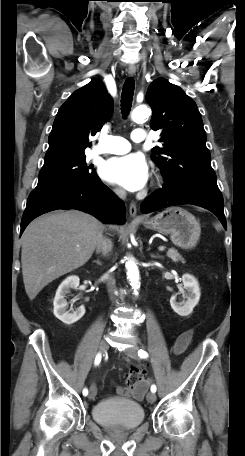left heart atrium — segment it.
<instances>
[{
	"label": "left heart atrium",
	"instance_id": "obj_1",
	"mask_svg": "<svg viewBox=\"0 0 245 456\" xmlns=\"http://www.w3.org/2000/svg\"><path fill=\"white\" fill-rule=\"evenodd\" d=\"M148 165L141 154L132 153L109 159L102 168V176L129 191L141 189L148 180Z\"/></svg>",
	"mask_w": 245,
	"mask_h": 456
}]
</instances>
